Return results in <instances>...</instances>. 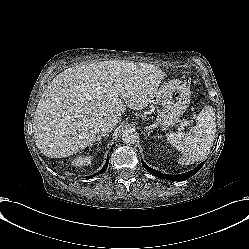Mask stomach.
I'll return each mask as SVG.
<instances>
[{"instance_id":"0dacf381","label":"stomach","mask_w":249,"mask_h":249,"mask_svg":"<svg viewBox=\"0 0 249 249\" xmlns=\"http://www.w3.org/2000/svg\"><path fill=\"white\" fill-rule=\"evenodd\" d=\"M190 89L181 82H170L159 88L156 100L161 106L156 124L172 127L190 104Z\"/></svg>"}]
</instances>
